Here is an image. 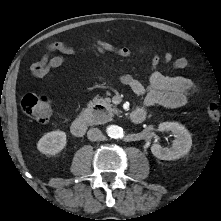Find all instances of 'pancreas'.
<instances>
[{
	"instance_id": "pancreas-1",
	"label": "pancreas",
	"mask_w": 221,
	"mask_h": 221,
	"mask_svg": "<svg viewBox=\"0 0 221 221\" xmlns=\"http://www.w3.org/2000/svg\"><path fill=\"white\" fill-rule=\"evenodd\" d=\"M93 103L94 104H96V103L103 104L106 107L107 111H108V116L102 118L98 115L97 112H91L86 117V121L90 125H96V124L103 123L104 121L109 120L114 114L118 113V110L114 106L112 107V104H110V99L109 98H106V99H97V98H95L93 100Z\"/></svg>"
}]
</instances>
